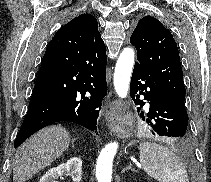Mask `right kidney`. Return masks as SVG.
Wrapping results in <instances>:
<instances>
[{"label":"right kidney","mask_w":211,"mask_h":182,"mask_svg":"<svg viewBox=\"0 0 211 182\" xmlns=\"http://www.w3.org/2000/svg\"><path fill=\"white\" fill-rule=\"evenodd\" d=\"M62 175H69L74 182H81L82 160L78 157L71 158L66 163L50 169L39 182H58V177Z\"/></svg>","instance_id":"right-kidney-1"}]
</instances>
